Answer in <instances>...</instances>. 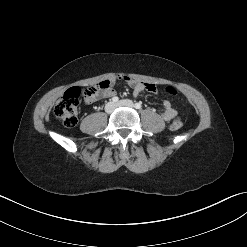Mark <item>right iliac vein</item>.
<instances>
[{
	"instance_id": "obj_1",
	"label": "right iliac vein",
	"mask_w": 247,
	"mask_h": 247,
	"mask_svg": "<svg viewBox=\"0 0 247 247\" xmlns=\"http://www.w3.org/2000/svg\"><path fill=\"white\" fill-rule=\"evenodd\" d=\"M115 107H116V105L113 102H109L105 106V111L107 113H112L114 111Z\"/></svg>"
}]
</instances>
